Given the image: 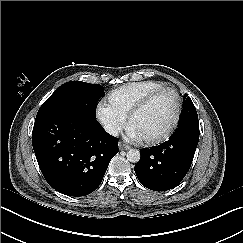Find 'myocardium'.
<instances>
[{
	"instance_id": "myocardium-1",
	"label": "myocardium",
	"mask_w": 243,
	"mask_h": 243,
	"mask_svg": "<svg viewBox=\"0 0 243 243\" xmlns=\"http://www.w3.org/2000/svg\"><path fill=\"white\" fill-rule=\"evenodd\" d=\"M166 93H172L175 96L176 104H175L174 113L172 115L170 122L168 123V125L165 127V129L161 133H159L158 135H155V136H146L143 134L145 140L148 142L157 143V142H161V141L165 140L171 134V132L174 130V128L177 126L180 116H181V110H182V99H181L179 92L175 88H172V87H165L163 89H160V90L150 94L146 98H144L141 102H139L137 104V106L132 110V112L129 116L130 125L135 126V120L137 119L139 114L142 112V110L146 107V105L148 103H150L152 100H154L155 98H157L163 94H166Z\"/></svg>"
}]
</instances>
